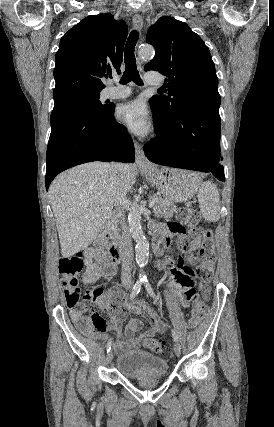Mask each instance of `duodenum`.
<instances>
[{"mask_svg":"<svg viewBox=\"0 0 274 427\" xmlns=\"http://www.w3.org/2000/svg\"><path fill=\"white\" fill-rule=\"evenodd\" d=\"M154 233H155L154 250L157 254H161L164 252L167 245L169 244V240L166 237V230L163 227H155ZM100 242L103 245L108 246L109 254L115 262H119L122 260L123 258L122 245L115 239L112 233V227L110 223H108L103 228L100 235Z\"/></svg>","mask_w":274,"mask_h":427,"instance_id":"duodenum-1","label":"duodenum"}]
</instances>
